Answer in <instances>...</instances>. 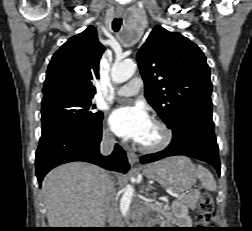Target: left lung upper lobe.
Instances as JSON below:
<instances>
[{"mask_svg":"<svg viewBox=\"0 0 252 231\" xmlns=\"http://www.w3.org/2000/svg\"><path fill=\"white\" fill-rule=\"evenodd\" d=\"M145 97L169 126L183 112H212L210 68L201 49L156 26L137 54Z\"/></svg>","mask_w":252,"mask_h":231,"instance_id":"obj_1","label":"left lung upper lobe"}]
</instances>
